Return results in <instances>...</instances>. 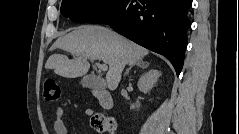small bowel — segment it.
Wrapping results in <instances>:
<instances>
[{"label":"small bowel","instance_id":"c3829d8e","mask_svg":"<svg viewBox=\"0 0 239 134\" xmlns=\"http://www.w3.org/2000/svg\"><path fill=\"white\" fill-rule=\"evenodd\" d=\"M64 110L62 107H57L55 110V120L53 123V134H67V128L66 125L62 119ZM93 114V111L91 109H85L83 111V116L85 118L91 117Z\"/></svg>","mask_w":239,"mask_h":134}]
</instances>
